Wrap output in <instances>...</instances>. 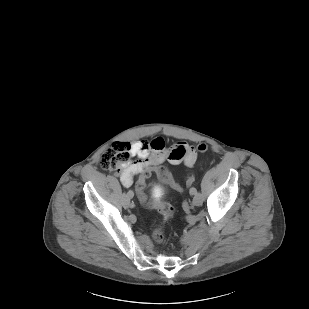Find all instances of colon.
<instances>
[{"mask_svg":"<svg viewBox=\"0 0 309 309\" xmlns=\"http://www.w3.org/2000/svg\"><path fill=\"white\" fill-rule=\"evenodd\" d=\"M208 149L207 144L200 143L197 146V150L200 153L206 152ZM131 144L128 142H116L108 147L101 156L100 164L101 167L107 171H117L122 169L128 162L131 155ZM157 176L165 183H168L173 188L181 190L183 188L191 187L195 182V174L190 172L184 185H180L171 176L170 172L165 167H159L156 170ZM151 172L144 171L140 174V177L136 183V191L139 196L140 201L146 207L157 206L159 207L163 222L158 225L152 232V238L156 243H163L165 240L164 234V223L167 222L174 214L173 208L161 201L151 202L149 201L145 191V180L150 176Z\"/></svg>","mask_w":309,"mask_h":309,"instance_id":"1","label":"colon"}]
</instances>
